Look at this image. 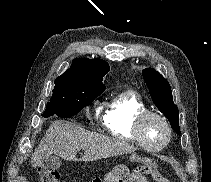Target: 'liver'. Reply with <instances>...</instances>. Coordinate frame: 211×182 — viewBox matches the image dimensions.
Instances as JSON below:
<instances>
[{
	"label": "liver",
	"instance_id": "obj_1",
	"mask_svg": "<svg viewBox=\"0 0 211 182\" xmlns=\"http://www.w3.org/2000/svg\"><path fill=\"white\" fill-rule=\"evenodd\" d=\"M81 149L84 150L82 161H95L136 150L123 140L87 131L77 123L59 120L49 126L34 151L31 163L36 168L52 154L67 161H77L76 155Z\"/></svg>",
	"mask_w": 211,
	"mask_h": 182
}]
</instances>
